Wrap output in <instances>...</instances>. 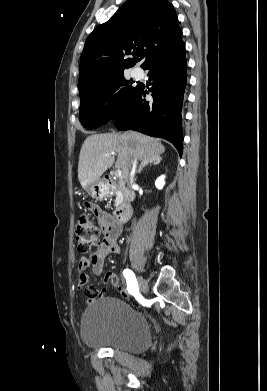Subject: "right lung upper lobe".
Wrapping results in <instances>:
<instances>
[{
	"mask_svg": "<svg viewBox=\"0 0 267 391\" xmlns=\"http://www.w3.org/2000/svg\"><path fill=\"white\" fill-rule=\"evenodd\" d=\"M178 17L167 0H128L88 36L80 59V94L144 58L145 68L183 42ZM133 55V58H127Z\"/></svg>",
	"mask_w": 267,
	"mask_h": 391,
	"instance_id": "obj_1",
	"label": "right lung upper lobe"
}]
</instances>
